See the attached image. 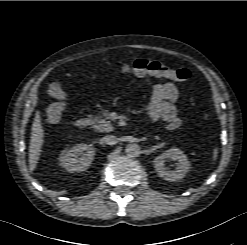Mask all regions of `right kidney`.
<instances>
[{
	"label": "right kidney",
	"instance_id": "1",
	"mask_svg": "<svg viewBox=\"0 0 247 245\" xmlns=\"http://www.w3.org/2000/svg\"><path fill=\"white\" fill-rule=\"evenodd\" d=\"M95 150L87 144H77L59 157L61 166L68 172H79L89 168L94 159Z\"/></svg>",
	"mask_w": 247,
	"mask_h": 245
}]
</instances>
